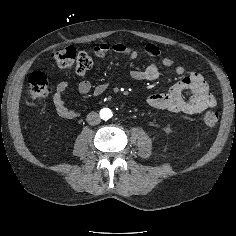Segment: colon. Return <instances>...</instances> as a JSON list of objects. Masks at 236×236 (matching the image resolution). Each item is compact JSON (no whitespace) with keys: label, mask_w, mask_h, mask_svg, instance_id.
I'll use <instances>...</instances> for the list:
<instances>
[{"label":"colon","mask_w":236,"mask_h":236,"mask_svg":"<svg viewBox=\"0 0 236 236\" xmlns=\"http://www.w3.org/2000/svg\"><path fill=\"white\" fill-rule=\"evenodd\" d=\"M51 57L60 68L74 69L78 74H85L93 65L91 57L86 52L74 47L54 50ZM52 88V82L43 71H35L28 78L27 91L31 100L48 96ZM203 121L207 126L214 127L219 121V115L215 111H207Z\"/></svg>","instance_id":"1"}]
</instances>
